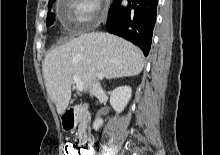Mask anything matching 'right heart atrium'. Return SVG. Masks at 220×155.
<instances>
[{"mask_svg":"<svg viewBox=\"0 0 220 155\" xmlns=\"http://www.w3.org/2000/svg\"><path fill=\"white\" fill-rule=\"evenodd\" d=\"M71 8L75 24L80 28H89L100 19V0H72Z\"/></svg>","mask_w":220,"mask_h":155,"instance_id":"obj_1","label":"right heart atrium"}]
</instances>
